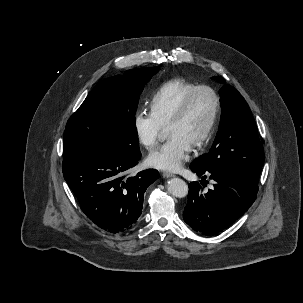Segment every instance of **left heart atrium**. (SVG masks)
I'll use <instances>...</instances> for the list:
<instances>
[{
	"mask_svg": "<svg viewBox=\"0 0 303 303\" xmlns=\"http://www.w3.org/2000/svg\"><path fill=\"white\" fill-rule=\"evenodd\" d=\"M192 145L179 134H171L167 141L148 157L150 166L174 172L179 170L189 158Z\"/></svg>",
	"mask_w": 303,
	"mask_h": 303,
	"instance_id": "1",
	"label": "left heart atrium"
}]
</instances>
